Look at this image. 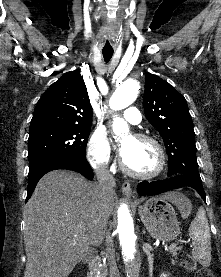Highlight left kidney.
Segmentation results:
<instances>
[{
  "label": "left kidney",
  "instance_id": "left-kidney-1",
  "mask_svg": "<svg viewBox=\"0 0 221 277\" xmlns=\"http://www.w3.org/2000/svg\"><path fill=\"white\" fill-rule=\"evenodd\" d=\"M160 277H169V275L166 274V273H162V274L160 275Z\"/></svg>",
  "mask_w": 221,
  "mask_h": 277
}]
</instances>
